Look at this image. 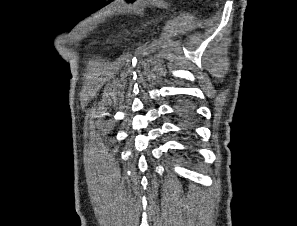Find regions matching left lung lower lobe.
I'll return each instance as SVG.
<instances>
[{
	"label": "left lung lower lobe",
	"mask_w": 297,
	"mask_h": 226,
	"mask_svg": "<svg viewBox=\"0 0 297 226\" xmlns=\"http://www.w3.org/2000/svg\"><path fill=\"white\" fill-rule=\"evenodd\" d=\"M176 110L178 116L183 120L184 124L189 127L194 118L193 107L189 103L182 102L177 106Z\"/></svg>",
	"instance_id": "obj_1"
}]
</instances>
